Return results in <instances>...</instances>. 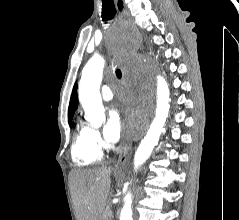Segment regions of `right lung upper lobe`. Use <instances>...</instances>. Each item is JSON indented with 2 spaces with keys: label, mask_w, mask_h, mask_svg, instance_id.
<instances>
[{
  "label": "right lung upper lobe",
  "mask_w": 239,
  "mask_h": 220,
  "mask_svg": "<svg viewBox=\"0 0 239 220\" xmlns=\"http://www.w3.org/2000/svg\"><path fill=\"white\" fill-rule=\"evenodd\" d=\"M78 107V100H77V84L75 83L69 103L68 109V119H72L76 108Z\"/></svg>",
  "instance_id": "cb5924a9"
}]
</instances>
